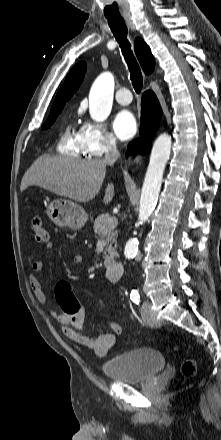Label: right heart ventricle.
<instances>
[{
    "label": "right heart ventricle",
    "instance_id": "obj_1",
    "mask_svg": "<svg viewBox=\"0 0 221 440\" xmlns=\"http://www.w3.org/2000/svg\"><path fill=\"white\" fill-rule=\"evenodd\" d=\"M57 150L61 154L73 158L86 156L81 129L76 130L71 123H66L57 142Z\"/></svg>",
    "mask_w": 221,
    "mask_h": 440
}]
</instances>
